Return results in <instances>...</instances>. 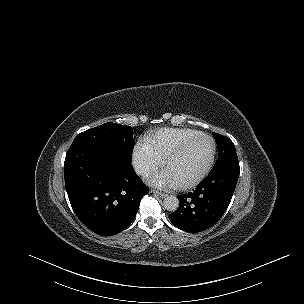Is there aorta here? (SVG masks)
I'll use <instances>...</instances> for the list:
<instances>
[{"instance_id": "aorta-1", "label": "aorta", "mask_w": 304, "mask_h": 304, "mask_svg": "<svg viewBox=\"0 0 304 304\" xmlns=\"http://www.w3.org/2000/svg\"><path fill=\"white\" fill-rule=\"evenodd\" d=\"M180 205V202L176 196L168 195L163 201V207L170 212H175Z\"/></svg>"}]
</instances>
